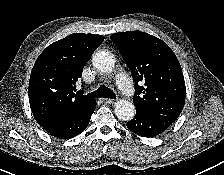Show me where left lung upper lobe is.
Here are the masks:
<instances>
[{
	"label": "left lung upper lobe",
	"mask_w": 224,
	"mask_h": 175,
	"mask_svg": "<svg viewBox=\"0 0 224 175\" xmlns=\"http://www.w3.org/2000/svg\"><path fill=\"white\" fill-rule=\"evenodd\" d=\"M111 39L132 72L136 112L177 119L186 88L180 63L170 47L141 31L115 33Z\"/></svg>",
	"instance_id": "obj_1"
}]
</instances>
